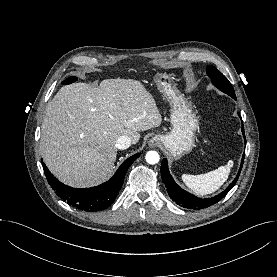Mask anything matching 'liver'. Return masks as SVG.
Here are the masks:
<instances>
[{
  "label": "liver",
  "instance_id": "obj_1",
  "mask_svg": "<svg viewBox=\"0 0 277 277\" xmlns=\"http://www.w3.org/2000/svg\"><path fill=\"white\" fill-rule=\"evenodd\" d=\"M161 123L154 97L138 81L106 79L99 86L73 83L60 88L47 104L40 150L61 182L91 187L111 175L119 137L129 136L136 144L138 132Z\"/></svg>",
  "mask_w": 277,
  "mask_h": 277
}]
</instances>
